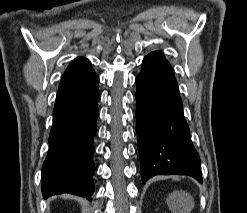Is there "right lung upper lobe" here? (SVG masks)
Here are the masks:
<instances>
[{"instance_id": "1", "label": "right lung upper lobe", "mask_w": 247, "mask_h": 213, "mask_svg": "<svg viewBox=\"0 0 247 213\" xmlns=\"http://www.w3.org/2000/svg\"><path fill=\"white\" fill-rule=\"evenodd\" d=\"M90 66V61L84 57H78L74 61H72L67 67L64 74L77 71Z\"/></svg>"}]
</instances>
